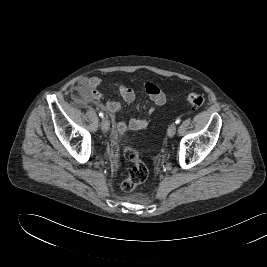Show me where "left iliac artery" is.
I'll list each match as a JSON object with an SVG mask.
<instances>
[{
    "mask_svg": "<svg viewBox=\"0 0 267 267\" xmlns=\"http://www.w3.org/2000/svg\"><path fill=\"white\" fill-rule=\"evenodd\" d=\"M180 122H181V120L179 118L176 119V121H175L176 124H179Z\"/></svg>",
    "mask_w": 267,
    "mask_h": 267,
    "instance_id": "left-iliac-artery-1",
    "label": "left iliac artery"
}]
</instances>
